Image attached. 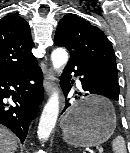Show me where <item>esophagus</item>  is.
I'll return each instance as SVG.
<instances>
[{
    "mask_svg": "<svg viewBox=\"0 0 130 153\" xmlns=\"http://www.w3.org/2000/svg\"><path fill=\"white\" fill-rule=\"evenodd\" d=\"M55 85V75L52 69H48L44 80V88L46 93L49 95Z\"/></svg>",
    "mask_w": 130,
    "mask_h": 153,
    "instance_id": "esophagus-1",
    "label": "esophagus"
}]
</instances>
